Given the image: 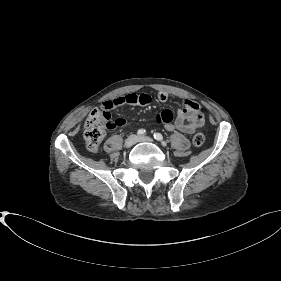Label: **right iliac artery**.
Returning a JSON list of instances; mask_svg holds the SVG:
<instances>
[{
  "label": "right iliac artery",
  "mask_w": 281,
  "mask_h": 281,
  "mask_svg": "<svg viewBox=\"0 0 281 281\" xmlns=\"http://www.w3.org/2000/svg\"><path fill=\"white\" fill-rule=\"evenodd\" d=\"M145 133H146V131H145L144 129H140V130H138V132H137V134H138L139 136H143V135H145Z\"/></svg>",
  "instance_id": "1"
}]
</instances>
